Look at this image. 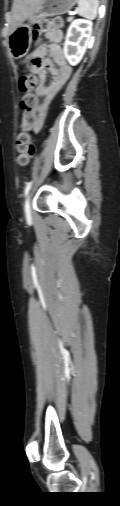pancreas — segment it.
Segmentation results:
<instances>
[{
    "label": "pancreas",
    "instance_id": "cf45deb5",
    "mask_svg": "<svg viewBox=\"0 0 120 506\" xmlns=\"http://www.w3.org/2000/svg\"><path fill=\"white\" fill-rule=\"evenodd\" d=\"M71 20H72V17H69V18L67 19V21H71Z\"/></svg>",
    "mask_w": 120,
    "mask_h": 506
}]
</instances>
